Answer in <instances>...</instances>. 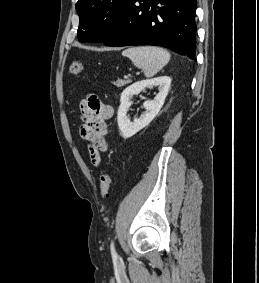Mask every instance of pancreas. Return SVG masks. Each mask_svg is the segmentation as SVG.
<instances>
[{
	"instance_id": "cf45deb5",
	"label": "pancreas",
	"mask_w": 259,
	"mask_h": 283,
	"mask_svg": "<svg viewBox=\"0 0 259 283\" xmlns=\"http://www.w3.org/2000/svg\"><path fill=\"white\" fill-rule=\"evenodd\" d=\"M129 83H131L130 79H124V80L117 79L116 81L113 82V84L117 87H122L126 84H129Z\"/></svg>"
}]
</instances>
